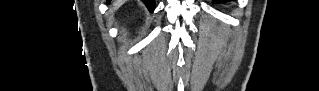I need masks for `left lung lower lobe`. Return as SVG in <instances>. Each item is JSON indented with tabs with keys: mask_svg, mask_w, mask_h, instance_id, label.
I'll return each mask as SVG.
<instances>
[{
	"mask_svg": "<svg viewBox=\"0 0 319 91\" xmlns=\"http://www.w3.org/2000/svg\"><path fill=\"white\" fill-rule=\"evenodd\" d=\"M228 0H214V3H225L227 2Z\"/></svg>",
	"mask_w": 319,
	"mask_h": 91,
	"instance_id": "left-lung-lower-lobe-1",
	"label": "left lung lower lobe"
}]
</instances>
